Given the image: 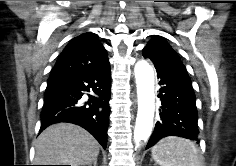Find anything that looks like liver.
I'll return each instance as SVG.
<instances>
[{
  "mask_svg": "<svg viewBox=\"0 0 236 166\" xmlns=\"http://www.w3.org/2000/svg\"><path fill=\"white\" fill-rule=\"evenodd\" d=\"M100 145L83 128L58 123L46 128L35 143L36 165H91L99 154Z\"/></svg>",
  "mask_w": 236,
  "mask_h": 166,
  "instance_id": "liver-1",
  "label": "liver"
}]
</instances>
